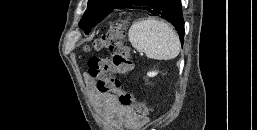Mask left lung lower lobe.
Instances as JSON below:
<instances>
[{
	"instance_id": "0a47b994",
	"label": "left lung lower lobe",
	"mask_w": 257,
	"mask_h": 130,
	"mask_svg": "<svg viewBox=\"0 0 257 130\" xmlns=\"http://www.w3.org/2000/svg\"><path fill=\"white\" fill-rule=\"evenodd\" d=\"M133 5L132 7H128ZM142 8L171 22L177 29L180 41L184 40V21L180 0H128L121 8Z\"/></svg>"
}]
</instances>
